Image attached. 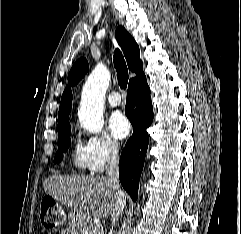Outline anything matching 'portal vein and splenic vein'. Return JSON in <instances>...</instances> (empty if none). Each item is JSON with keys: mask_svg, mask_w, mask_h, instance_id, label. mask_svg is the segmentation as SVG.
Instances as JSON below:
<instances>
[{"mask_svg": "<svg viewBox=\"0 0 241 234\" xmlns=\"http://www.w3.org/2000/svg\"><path fill=\"white\" fill-rule=\"evenodd\" d=\"M94 229L102 231L103 230V226H102V224L100 222H96L94 224Z\"/></svg>", "mask_w": 241, "mask_h": 234, "instance_id": "obj_1", "label": "portal vein and splenic vein"}]
</instances>
